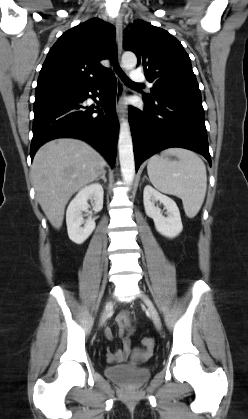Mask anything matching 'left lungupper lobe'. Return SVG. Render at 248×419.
I'll return each mask as SVG.
<instances>
[{"mask_svg": "<svg viewBox=\"0 0 248 419\" xmlns=\"http://www.w3.org/2000/svg\"><path fill=\"white\" fill-rule=\"evenodd\" d=\"M125 50L133 51L137 66L144 68L147 80L153 83V101L160 97H201L191 60L181 43L168 31L138 20L125 37Z\"/></svg>", "mask_w": 248, "mask_h": 419, "instance_id": "left-lung-upper-lobe-1", "label": "left lung upper lobe"}]
</instances>
